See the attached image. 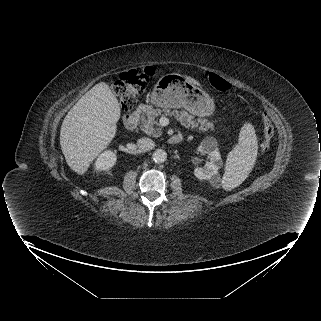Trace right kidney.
<instances>
[{
  "label": "right kidney",
  "instance_id": "obj_1",
  "mask_svg": "<svg viewBox=\"0 0 321 321\" xmlns=\"http://www.w3.org/2000/svg\"><path fill=\"white\" fill-rule=\"evenodd\" d=\"M116 160V155L112 151L107 150L98 157L95 163V169L100 171H107L115 165Z\"/></svg>",
  "mask_w": 321,
  "mask_h": 321
}]
</instances>
